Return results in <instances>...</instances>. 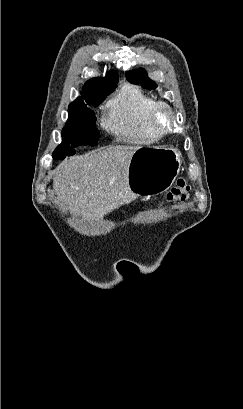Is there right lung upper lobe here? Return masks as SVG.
Wrapping results in <instances>:
<instances>
[{
    "mask_svg": "<svg viewBox=\"0 0 243 409\" xmlns=\"http://www.w3.org/2000/svg\"><path fill=\"white\" fill-rule=\"evenodd\" d=\"M118 83V74L116 71H110L106 77L92 78L87 81L83 87L82 98H77L69 105V109L85 108L87 105H93L103 95L111 93Z\"/></svg>",
    "mask_w": 243,
    "mask_h": 409,
    "instance_id": "cb5924a9",
    "label": "right lung upper lobe"
}]
</instances>
